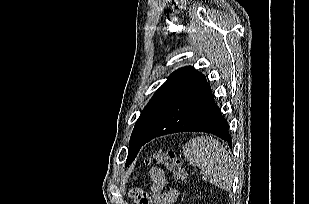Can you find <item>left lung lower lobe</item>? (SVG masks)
Wrapping results in <instances>:
<instances>
[{"instance_id": "obj_1", "label": "left lung lower lobe", "mask_w": 309, "mask_h": 204, "mask_svg": "<svg viewBox=\"0 0 309 204\" xmlns=\"http://www.w3.org/2000/svg\"><path fill=\"white\" fill-rule=\"evenodd\" d=\"M177 132H207L218 136L232 149L227 120L214 102L210 85L205 83L170 106L144 138L146 142Z\"/></svg>"}]
</instances>
